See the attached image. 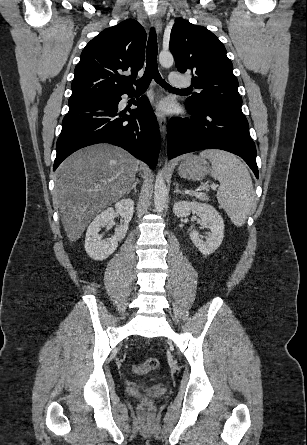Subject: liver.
I'll list each match as a JSON object with an SVG mask.
<instances>
[{
  "label": "liver",
  "instance_id": "6515ba94",
  "mask_svg": "<svg viewBox=\"0 0 307 445\" xmlns=\"http://www.w3.org/2000/svg\"><path fill=\"white\" fill-rule=\"evenodd\" d=\"M138 162L113 144H92L73 152L55 172V198L69 241H78L90 220L124 196Z\"/></svg>",
  "mask_w": 307,
  "mask_h": 445
}]
</instances>
